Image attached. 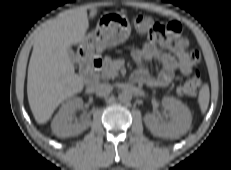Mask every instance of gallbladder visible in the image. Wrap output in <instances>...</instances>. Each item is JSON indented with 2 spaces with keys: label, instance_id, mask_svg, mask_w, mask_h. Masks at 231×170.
I'll use <instances>...</instances> for the list:
<instances>
[{
  "label": "gallbladder",
  "instance_id": "obj_1",
  "mask_svg": "<svg viewBox=\"0 0 231 170\" xmlns=\"http://www.w3.org/2000/svg\"><path fill=\"white\" fill-rule=\"evenodd\" d=\"M68 53H69L71 59L73 60V59H74V52H73V50L71 49V47L68 48Z\"/></svg>",
  "mask_w": 231,
  "mask_h": 170
}]
</instances>
